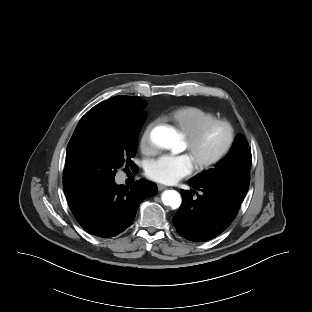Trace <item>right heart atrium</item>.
<instances>
[{
	"instance_id": "1",
	"label": "right heart atrium",
	"mask_w": 312,
	"mask_h": 312,
	"mask_svg": "<svg viewBox=\"0 0 312 312\" xmlns=\"http://www.w3.org/2000/svg\"><path fill=\"white\" fill-rule=\"evenodd\" d=\"M155 124L156 123L154 121L147 124L140 137V149L146 155H151L155 151V147L151 141V131Z\"/></svg>"
}]
</instances>
